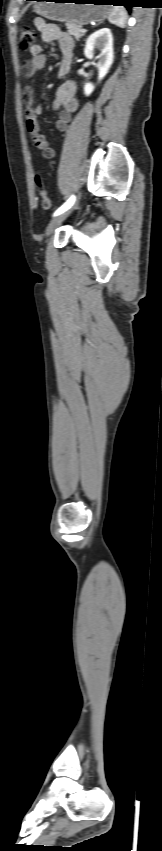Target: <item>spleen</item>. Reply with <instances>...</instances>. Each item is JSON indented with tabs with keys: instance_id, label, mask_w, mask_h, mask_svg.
<instances>
[{
	"instance_id": "3e777b00",
	"label": "spleen",
	"mask_w": 162,
	"mask_h": 851,
	"mask_svg": "<svg viewBox=\"0 0 162 851\" xmlns=\"http://www.w3.org/2000/svg\"><path fill=\"white\" fill-rule=\"evenodd\" d=\"M108 20L111 24L124 28L127 20V12L123 7L111 6Z\"/></svg>"
}]
</instances>
